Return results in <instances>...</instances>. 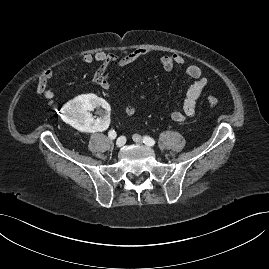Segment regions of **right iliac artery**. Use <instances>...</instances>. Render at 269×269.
<instances>
[{
	"label": "right iliac artery",
	"mask_w": 269,
	"mask_h": 269,
	"mask_svg": "<svg viewBox=\"0 0 269 269\" xmlns=\"http://www.w3.org/2000/svg\"><path fill=\"white\" fill-rule=\"evenodd\" d=\"M108 136H109L110 139H115L117 134H116L115 130H110L108 132Z\"/></svg>",
	"instance_id": "82829eb1"
}]
</instances>
